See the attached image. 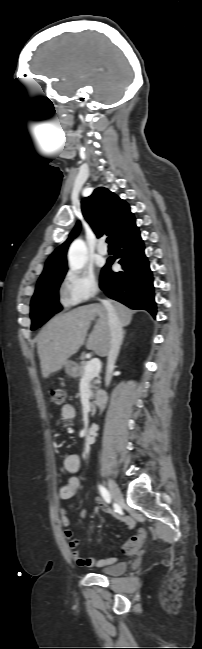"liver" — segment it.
Returning a JSON list of instances; mask_svg holds the SVG:
<instances>
[{
	"label": "liver",
	"instance_id": "liver-1",
	"mask_svg": "<svg viewBox=\"0 0 202 649\" xmlns=\"http://www.w3.org/2000/svg\"><path fill=\"white\" fill-rule=\"evenodd\" d=\"M113 307L122 323L129 325L133 311L120 303ZM98 320L86 343L88 350L105 357L110 346V328L104 305L91 304L54 316L38 335V355L44 378H48L66 364L84 344L91 321Z\"/></svg>",
	"mask_w": 202,
	"mask_h": 649
}]
</instances>
